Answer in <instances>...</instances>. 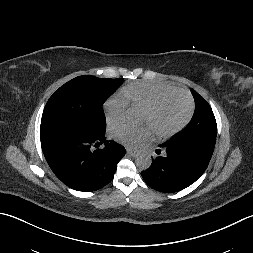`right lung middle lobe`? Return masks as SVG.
<instances>
[{"label": "right lung middle lobe", "mask_w": 253, "mask_h": 253, "mask_svg": "<svg viewBox=\"0 0 253 253\" xmlns=\"http://www.w3.org/2000/svg\"><path fill=\"white\" fill-rule=\"evenodd\" d=\"M124 79L79 76L61 86L49 98L41 119V128L63 126L88 135L105 133L102 105Z\"/></svg>", "instance_id": "dd1d6c3e"}]
</instances>
